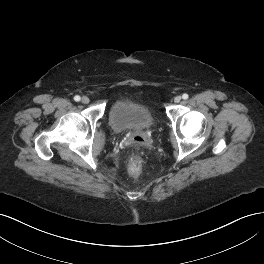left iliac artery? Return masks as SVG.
I'll use <instances>...</instances> for the list:
<instances>
[{"label":"left iliac artery","mask_w":264,"mask_h":264,"mask_svg":"<svg viewBox=\"0 0 264 264\" xmlns=\"http://www.w3.org/2000/svg\"><path fill=\"white\" fill-rule=\"evenodd\" d=\"M188 94H186V93H184L183 95H182V98L184 99V100H186V99H188Z\"/></svg>","instance_id":"1"}]
</instances>
